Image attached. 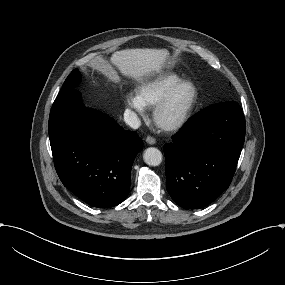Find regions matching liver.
<instances>
[{
    "label": "liver",
    "instance_id": "liver-1",
    "mask_svg": "<svg viewBox=\"0 0 285 285\" xmlns=\"http://www.w3.org/2000/svg\"><path fill=\"white\" fill-rule=\"evenodd\" d=\"M165 54L166 52L161 50H125L116 52L111 59L99 56L92 65L113 78L118 76L114 64H117L123 72L139 75L158 68Z\"/></svg>",
    "mask_w": 285,
    "mask_h": 285
}]
</instances>
